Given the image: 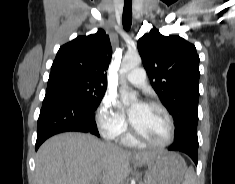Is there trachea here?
Wrapping results in <instances>:
<instances>
[{
    "instance_id": "1",
    "label": "trachea",
    "mask_w": 235,
    "mask_h": 184,
    "mask_svg": "<svg viewBox=\"0 0 235 184\" xmlns=\"http://www.w3.org/2000/svg\"><path fill=\"white\" fill-rule=\"evenodd\" d=\"M123 26L126 31H128L132 24V2L131 0H125L123 9Z\"/></svg>"
}]
</instances>
